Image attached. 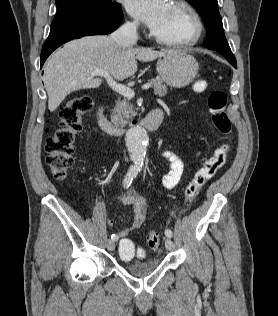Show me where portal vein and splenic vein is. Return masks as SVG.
<instances>
[{
	"label": "portal vein and splenic vein",
	"instance_id": "portal-vein-and-splenic-vein-1",
	"mask_svg": "<svg viewBox=\"0 0 278 316\" xmlns=\"http://www.w3.org/2000/svg\"><path fill=\"white\" fill-rule=\"evenodd\" d=\"M94 75L104 77L107 80L109 86L114 91H116L117 93L123 95L124 97L129 98V99L134 97L135 92H134V90L132 88L117 83L116 81L113 80V78L109 75L108 72L103 71V70H96L94 72ZM150 87H151V84L150 83H146V84H144L142 86V89L146 90V89H149Z\"/></svg>",
	"mask_w": 278,
	"mask_h": 316
}]
</instances>
